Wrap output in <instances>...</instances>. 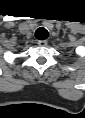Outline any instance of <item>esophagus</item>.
Instances as JSON below:
<instances>
[{
  "instance_id": "34e87169",
  "label": "esophagus",
  "mask_w": 85,
  "mask_h": 118,
  "mask_svg": "<svg viewBox=\"0 0 85 118\" xmlns=\"http://www.w3.org/2000/svg\"><path fill=\"white\" fill-rule=\"evenodd\" d=\"M48 44L47 40H40L38 41V45L41 46V47H44Z\"/></svg>"
}]
</instances>
